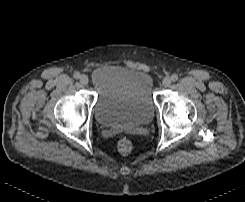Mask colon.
I'll return each mask as SVG.
<instances>
[{
  "label": "colon",
  "instance_id": "1",
  "mask_svg": "<svg viewBox=\"0 0 245 202\" xmlns=\"http://www.w3.org/2000/svg\"><path fill=\"white\" fill-rule=\"evenodd\" d=\"M117 147H118L119 153L123 156H128L133 151V143L131 139H129L128 137H122L118 141Z\"/></svg>",
  "mask_w": 245,
  "mask_h": 202
}]
</instances>
